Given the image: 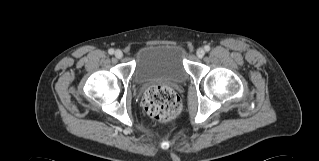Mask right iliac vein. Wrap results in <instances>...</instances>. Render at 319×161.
<instances>
[{"instance_id": "obj_1", "label": "right iliac vein", "mask_w": 319, "mask_h": 161, "mask_svg": "<svg viewBox=\"0 0 319 161\" xmlns=\"http://www.w3.org/2000/svg\"><path fill=\"white\" fill-rule=\"evenodd\" d=\"M114 55L117 59H121L123 57V52L121 50H116Z\"/></svg>"}]
</instances>
